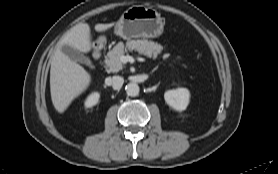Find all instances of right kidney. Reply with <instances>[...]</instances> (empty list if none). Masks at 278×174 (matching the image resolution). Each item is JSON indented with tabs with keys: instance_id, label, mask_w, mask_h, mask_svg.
Segmentation results:
<instances>
[{
	"instance_id": "1",
	"label": "right kidney",
	"mask_w": 278,
	"mask_h": 174,
	"mask_svg": "<svg viewBox=\"0 0 278 174\" xmlns=\"http://www.w3.org/2000/svg\"><path fill=\"white\" fill-rule=\"evenodd\" d=\"M99 98H100V94L98 92H93L85 100V103H84L85 107L91 108V107L95 106L98 103Z\"/></svg>"
}]
</instances>
